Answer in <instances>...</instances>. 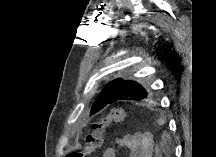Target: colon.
I'll return each mask as SVG.
<instances>
[{
  "instance_id": "colon-1",
  "label": "colon",
  "mask_w": 216,
  "mask_h": 157,
  "mask_svg": "<svg viewBox=\"0 0 216 157\" xmlns=\"http://www.w3.org/2000/svg\"><path fill=\"white\" fill-rule=\"evenodd\" d=\"M127 113L123 108H114L106 116L93 122L91 130L86 136L85 147L81 151H72L67 157H85L101 148L103 138L108 127L114 123L124 121Z\"/></svg>"
}]
</instances>
